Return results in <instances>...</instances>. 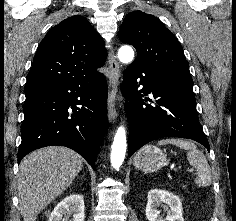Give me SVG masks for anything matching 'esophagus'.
Instances as JSON below:
<instances>
[{"label": "esophagus", "mask_w": 236, "mask_h": 221, "mask_svg": "<svg viewBox=\"0 0 236 221\" xmlns=\"http://www.w3.org/2000/svg\"><path fill=\"white\" fill-rule=\"evenodd\" d=\"M108 64H109L108 119L110 122H114V120L118 116L116 109V97L120 78V66L117 62L113 48L109 51L108 54Z\"/></svg>", "instance_id": "obj_1"}]
</instances>
